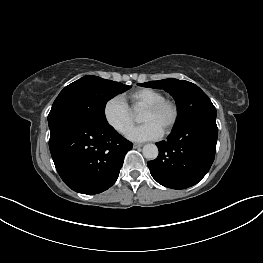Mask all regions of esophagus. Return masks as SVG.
<instances>
[{
	"label": "esophagus",
	"instance_id": "obj_1",
	"mask_svg": "<svg viewBox=\"0 0 263 263\" xmlns=\"http://www.w3.org/2000/svg\"><path fill=\"white\" fill-rule=\"evenodd\" d=\"M142 146H143V144H141V143H134L133 144V148H140Z\"/></svg>",
	"mask_w": 263,
	"mask_h": 263
}]
</instances>
